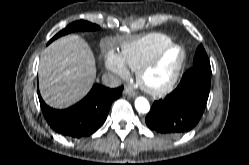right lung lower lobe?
<instances>
[{
	"label": "right lung lower lobe",
	"instance_id": "98d812e1",
	"mask_svg": "<svg viewBox=\"0 0 249 165\" xmlns=\"http://www.w3.org/2000/svg\"><path fill=\"white\" fill-rule=\"evenodd\" d=\"M123 87L110 89L95 84L77 104L63 110L50 108L39 92L40 106L48 124L64 136L81 138L90 136L105 122L112 102L121 96Z\"/></svg>",
	"mask_w": 249,
	"mask_h": 165
}]
</instances>
